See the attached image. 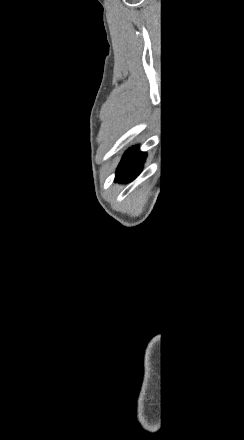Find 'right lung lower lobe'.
Returning <instances> with one entry per match:
<instances>
[{
  "label": "right lung lower lobe",
  "instance_id": "obj_1",
  "mask_svg": "<svg viewBox=\"0 0 244 440\" xmlns=\"http://www.w3.org/2000/svg\"><path fill=\"white\" fill-rule=\"evenodd\" d=\"M145 158L146 153L139 152L138 147L127 151L119 164L115 181H132L141 172Z\"/></svg>",
  "mask_w": 244,
  "mask_h": 440
}]
</instances>
